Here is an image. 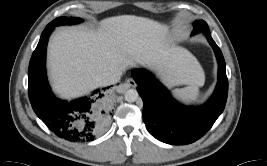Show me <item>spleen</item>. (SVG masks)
Here are the masks:
<instances>
[{
    "mask_svg": "<svg viewBox=\"0 0 267 166\" xmlns=\"http://www.w3.org/2000/svg\"><path fill=\"white\" fill-rule=\"evenodd\" d=\"M175 94L179 99L187 103L197 101L200 96L197 86H188L183 89L175 90Z\"/></svg>",
    "mask_w": 267,
    "mask_h": 166,
    "instance_id": "3e777b00",
    "label": "spleen"
}]
</instances>
